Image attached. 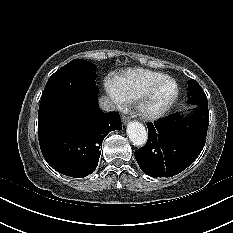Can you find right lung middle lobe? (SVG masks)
<instances>
[{
  "label": "right lung middle lobe",
  "instance_id": "right-lung-middle-lobe-1",
  "mask_svg": "<svg viewBox=\"0 0 233 233\" xmlns=\"http://www.w3.org/2000/svg\"><path fill=\"white\" fill-rule=\"evenodd\" d=\"M94 71L95 65L83 59L73 60L56 71L44 88L38 121L56 114H72L80 90L97 93Z\"/></svg>",
  "mask_w": 233,
  "mask_h": 233
}]
</instances>
